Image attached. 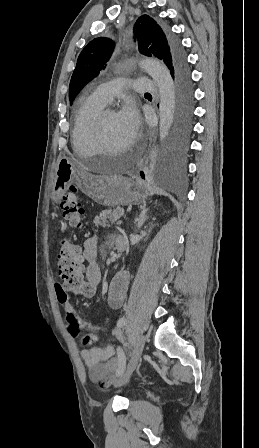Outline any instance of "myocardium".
<instances>
[{
    "label": "myocardium",
    "instance_id": "myocardium-1",
    "mask_svg": "<svg viewBox=\"0 0 259 448\" xmlns=\"http://www.w3.org/2000/svg\"><path fill=\"white\" fill-rule=\"evenodd\" d=\"M109 114H116V112L112 107L103 108L97 114L95 119L94 141L96 147L101 151L102 154L115 152V150L109 145L105 133V120ZM75 156H78V163H85L83 158L77 152H75ZM97 171L107 170L98 169Z\"/></svg>",
    "mask_w": 259,
    "mask_h": 448
}]
</instances>
